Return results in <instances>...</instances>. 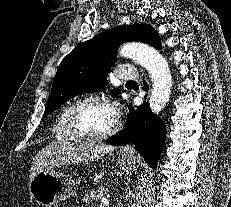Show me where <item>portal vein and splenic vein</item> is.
Masks as SVG:
<instances>
[{"label":"portal vein and splenic vein","instance_id":"portal-vein-and-splenic-vein-1","mask_svg":"<svg viewBox=\"0 0 231 207\" xmlns=\"http://www.w3.org/2000/svg\"><path fill=\"white\" fill-rule=\"evenodd\" d=\"M110 203L107 201V200H103L100 204H99V207H106V206H109Z\"/></svg>","mask_w":231,"mask_h":207}]
</instances>
